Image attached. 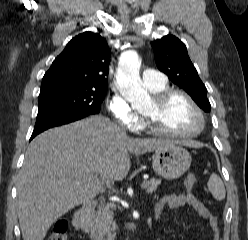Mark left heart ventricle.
Wrapping results in <instances>:
<instances>
[{"label": "left heart ventricle", "mask_w": 248, "mask_h": 240, "mask_svg": "<svg viewBox=\"0 0 248 240\" xmlns=\"http://www.w3.org/2000/svg\"><path fill=\"white\" fill-rule=\"evenodd\" d=\"M144 114L152 117L158 127L174 132H191L200 125L197 113L180 95L172 97L162 109H158L152 101Z\"/></svg>", "instance_id": "obj_1"}]
</instances>
